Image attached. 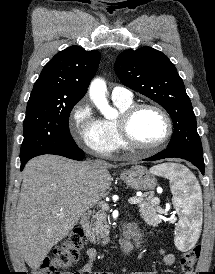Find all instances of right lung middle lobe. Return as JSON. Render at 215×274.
Returning <instances> with one entry per match:
<instances>
[{
  "label": "right lung middle lobe",
  "instance_id": "obj_1",
  "mask_svg": "<svg viewBox=\"0 0 215 274\" xmlns=\"http://www.w3.org/2000/svg\"><path fill=\"white\" fill-rule=\"evenodd\" d=\"M76 102H28L20 158L28 159L77 146L69 131Z\"/></svg>",
  "mask_w": 215,
  "mask_h": 274
}]
</instances>
